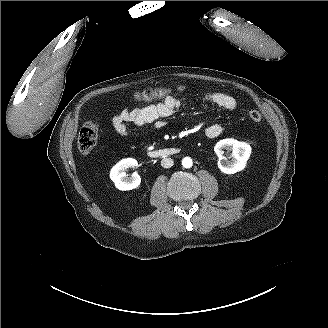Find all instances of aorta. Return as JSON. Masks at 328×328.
<instances>
[{
    "label": "aorta",
    "mask_w": 328,
    "mask_h": 328,
    "mask_svg": "<svg viewBox=\"0 0 328 328\" xmlns=\"http://www.w3.org/2000/svg\"><path fill=\"white\" fill-rule=\"evenodd\" d=\"M192 165H193V162H192V159L190 157L183 158L182 166L184 168H190V167H192Z\"/></svg>",
    "instance_id": "obj_1"
}]
</instances>
